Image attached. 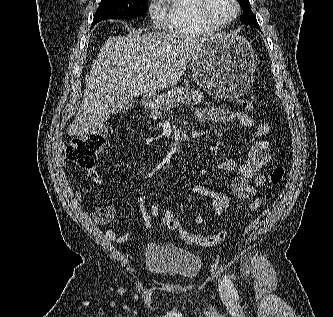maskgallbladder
<instances>
[{
  "label": "gallbladder",
  "mask_w": 333,
  "mask_h": 317,
  "mask_svg": "<svg viewBox=\"0 0 333 317\" xmlns=\"http://www.w3.org/2000/svg\"><path fill=\"white\" fill-rule=\"evenodd\" d=\"M133 98L127 96H116L109 102V107L114 114H120L128 111L133 105Z\"/></svg>",
  "instance_id": "gallbladder-1"
}]
</instances>
